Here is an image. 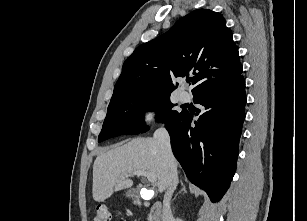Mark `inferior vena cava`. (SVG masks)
<instances>
[{
	"mask_svg": "<svg viewBox=\"0 0 307 221\" xmlns=\"http://www.w3.org/2000/svg\"><path fill=\"white\" fill-rule=\"evenodd\" d=\"M154 139H156L163 146L169 162V181L163 200L162 219L163 221H173L170 200L178 184L177 162L171 150L170 137L167 130L165 128H159L156 130L154 133Z\"/></svg>",
	"mask_w": 307,
	"mask_h": 221,
	"instance_id": "inferior-vena-cava-1",
	"label": "inferior vena cava"
}]
</instances>
